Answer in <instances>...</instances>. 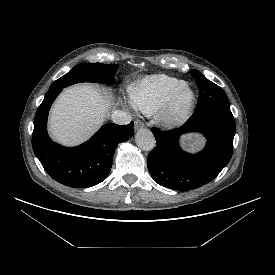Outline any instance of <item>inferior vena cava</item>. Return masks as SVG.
I'll use <instances>...</instances> for the list:
<instances>
[{
    "label": "inferior vena cava",
    "mask_w": 275,
    "mask_h": 275,
    "mask_svg": "<svg viewBox=\"0 0 275 275\" xmlns=\"http://www.w3.org/2000/svg\"><path fill=\"white\" fill-rule=\"evenodd\" d=\"M111 120L115 124L126 125L131 122L132 118L127 112L116 110L111 114Z\"/></svg>",
    "instance_id": "602c4592"
}]
</instances>
